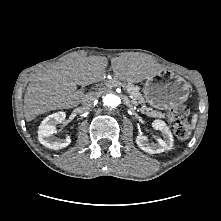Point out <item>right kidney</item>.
I'll use <instances>...</instances> for the list:
<instances>
[{
	"mask_svg": "<svg viewBox=\"0 0 221 221\" xmlns=\"http://www.w3.org/2000/svg\"><path fill=\"white\" fill-rule=\"evenodd\" d=\"M66 113L59 111L47 116L40 124L38 134L40 137L45 138V145L53 150L62 149L71 143L70 136L65 139H59L53 135L57 133L55 124L64 123Z\"/></svg>",
	"mask_w": 221,
	"mask_h": 221,
	"instance_id": "obj_1",
	"label": "right kidney"
}]
</instances>
